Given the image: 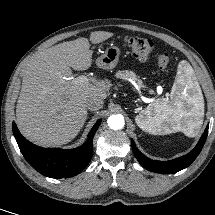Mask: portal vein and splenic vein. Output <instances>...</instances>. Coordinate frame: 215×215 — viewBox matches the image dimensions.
Instances as JSON below:
<instances>
[{"label":"portal vein and splenic vein","instance_id":"18ae733b","mask_svg":"<svg viewBox=\"0 0 215 215\" xmlns=\"http://www.w3.org/2000/svg\"><path fill=\"white\" fill-rule=\"evenodd\" d=\"M73 84L75 85H85L89 83V79L85 75L78 76L76 78H70Z\"/></svg>","mask_w":215,"mask_h":215}]
</instances>
